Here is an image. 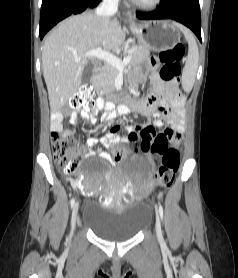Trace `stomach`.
<instances>
[{
	"mask_svg": "<svg viewBox=\"0 0 238 278\" xmlns=\"http://www.w3.org/2000/svg\"><path fill=\"white\" fill-rule=\"evenodd\" d=\"M132 33L142 46L161 51L173 48L180 41L178 28L169 21L153 20L140 24H131Z\"/></svg>",
	"mask_w": 238,
	"mask_h": 278,
	"instance_id": "1",
	"label": "stomach"
}]
</instances>
